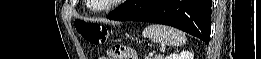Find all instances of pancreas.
Returning <instances> with one entry per match:
<instances>
[{
    "instance_id": "cf45deb5",
    "label": "pancreas",
    "mask_w": 261,
    "mask_h": 59,
    "mask_svg": "<svg viewBox=\"0 0 261 59\" xmlns=\"http://www.w3.org/2000/svg\"><path fill=\"white\" fill-rule=\"evenodd\" d=\"M152 59H162V56H156V57H154V58H152Z\"/></svg>"
}]
</instances>
